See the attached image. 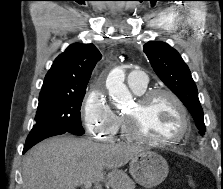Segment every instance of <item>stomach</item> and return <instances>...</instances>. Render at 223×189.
Returning a JSON list of instances; mask_svg holds the SVG:
<instances>
[{"label":"stomach","mask_w":223,"mask_h":189,"mask_svg":"<svg viewBox=\"0 0 223 189\" xmlns=\"http://www.w3.org/2000/svg\"><path fill=\"white\" fill-rule=\"evenodd\" d=\"M168 164L159 154L143 151L130 162L129 172L134 180L146 188L159 185L168 175Z\"/></svg>","instance_id":"1"}]
</instances>
